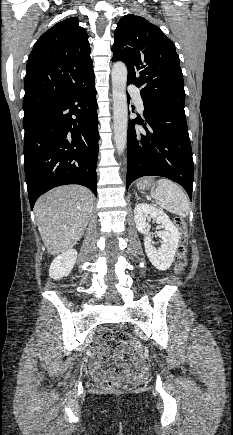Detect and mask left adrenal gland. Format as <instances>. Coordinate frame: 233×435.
<instances>
[{"label":"left adrenal gland","mask_w":233,"mask_h":435,"mask_svg":"<svg viewBox=\"0 0 233 435\" xmlns=\"http://www.w3.org/2000/svg\"><path fill=\"white\" fill-rule=\"evenodd\" d=\"M135 197H136L137 199H139V197H138L137 193H135Z\"/></svg>","instance_id":"a2214340"}]
</instances>
